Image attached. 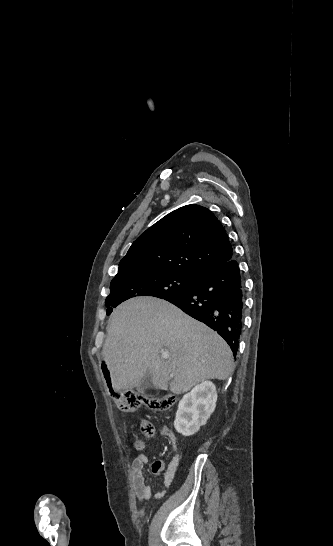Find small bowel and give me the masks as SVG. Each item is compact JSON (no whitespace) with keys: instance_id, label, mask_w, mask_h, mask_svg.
Wrapping results in <instances>:
<instances>
[{"instance_id":"c3829d8e","label":"small bowel","mask_w":333,"mask_h":546,"mask_svg":"<svg viewBox=\"0 0 333 546\" xmlns=\"http://www.w3.org/2000/svg\"><path fill=\"white\" fill-rule=\"evenodd\" d=\"M161 434L166 437L172 447H173V456L168 464L165 467L164 463L161 460H156L152 464V470L154 473L163 474L165 480H171L174 476L180 462V453L177 450L176 437L172 430L167 426L161 428ZM133 446L137 451L141 453L135 457L132 462V480H133V489L138 501H147L152 498L159 499L163 496L162 493L153 495L150 486L145 482L144 477V467L149 462V455L144 452L146 445L145 442L139 438H135Z\"/></svg>"}]
</instances>
